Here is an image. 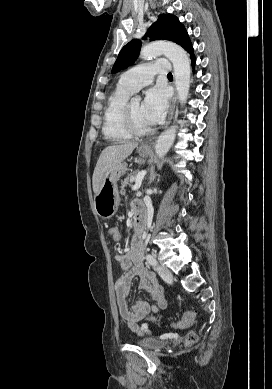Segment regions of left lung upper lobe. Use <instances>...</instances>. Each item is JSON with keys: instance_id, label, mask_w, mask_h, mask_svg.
Here are the masks:
<instances>
[{"instance_id": "obj_1", "label": "left lung upper lobe", "mask_w": 272, "mask_h": 389, "mask_svg": "<svg viewBox=\"0 0 272 389\" xmlns=\"http://www.w3.org/2000/svg\"><path fill=\"white\" fill-rule=\"evenodd\" d=\"M146 36L151 40H169L182 46L187 52L192 49L189 36L184 26L174 15L161 14L158 20L148 29ZM141 41L134 39L125 45L120 51L118 58L112 68V73L134 63L140 51Z\"/></svg>"}]
</instances>
